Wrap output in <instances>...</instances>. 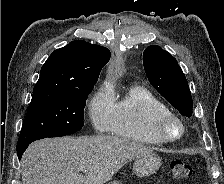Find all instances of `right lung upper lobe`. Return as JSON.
<instances>
[{"mask_svg": "<svg viewBox=\"0 0 224 184\" xmlns=\"http://www.w3.org/2000/svg\"><path fill=\"white\" fill-rule=\"evenodd\" d=\"M110 51L83 40L72 41L52 52L41 68L33 91H70L93 88Z\"/></svg>", "mask_w": 224, "mask_h": 184, "instance_id": "1", "label": "right lung upper lobe"}]
</instances>
